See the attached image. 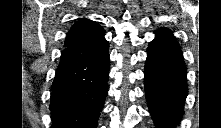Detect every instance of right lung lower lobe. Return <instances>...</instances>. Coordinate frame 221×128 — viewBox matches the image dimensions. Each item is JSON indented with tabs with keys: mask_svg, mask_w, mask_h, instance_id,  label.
<instances>
[{
	"mask_svg": "<svg viewBox=\"0 0 221 128\" xmlns=\"http://www.w3.org/2000/svg\"><path fill=\"white\" fill-rule=\"evenodd\" d=\"M108 49L103 36L65 46L51 87L52 128H96L107 93Z\"/></svg>",
	"mask_w": 221,
	"mask_h": 128,
	"instance_id": "right-lung-lower-lobe-1",
	"label": "right lung lower lobe"
}]
</instances>
